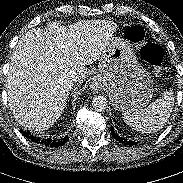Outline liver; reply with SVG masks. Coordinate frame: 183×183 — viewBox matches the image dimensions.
<instances>
[{"label": "liver", "mask_w": 183, "mask_h": 183, "mask_svg": "<svg viewBox=\"0 0 183 183\" xmlns=\"http://www.w3.org/2000/svg\"><path fill=\"white\" fill-rule=\"evenodd\" d=\"M116 30L108 20L51 22L46 31L29 30L15 46L7 74L9 107L18 123L37 132L50 128L66 107L70 72L83 80L85 66L100 59Z\"/></svg>", "instance_id": "liver-1"}]
</instances>
